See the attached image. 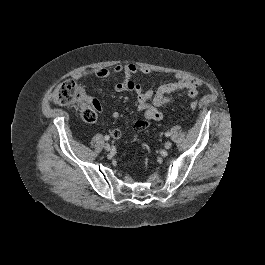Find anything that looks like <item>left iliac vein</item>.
<instances>
[{
	"instance_id": "1",
	"label": "left iliac vein",
	"mask_w": 265,
	"mask_h": 265,
	"mask_svg": "<svg viewBox=\"0 0 265 265\" xmlns=\"http://www.w3.org/2000/svg\"><path fill=\"white\" fill-rule=\"evenodd\" d=\"M164 146L166 149H170L172 147V143L170 141H167Z\"/></svg>"
}]
</instances>
